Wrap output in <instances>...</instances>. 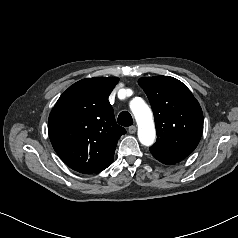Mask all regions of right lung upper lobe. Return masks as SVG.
<instances>
[{"mask_svg":"<svg viewBox=\"0 0 238 238\" xmlns=\"http://www.w3.org/2000/svg\"><path fill=\"white\" fill-rule=\"evenodd\" d=\"M117 77L86 78L58 99L49 119V137L63 162L80 173L100 172L111 165L118 139L126 131L117 125L108 96Z\"/></svg>","mask_w":238,"mask_h":238,"instance_id":"right-lung-upper-lobe-1","label":"right lung upper lobe"}]
</instances>
